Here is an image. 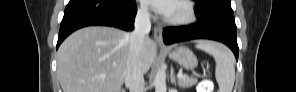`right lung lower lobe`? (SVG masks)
I'll use <instances>...</instances> for the list:
<instances>
[{"label":"right lung lower lobe","mask_w":296,"mask_h":92,"mask_svg":"<svg viewBox=\"0 0 296 92\" xmlns=\"http://www.w3.org/2000/svg\"><path fill=\"white\" fill-rule=\"evenodd\" d=\"M135 0H70L65 8L56 48L73 31L91 25L133 30Z\"/></svg>","instance_id":"1"}]
</instances>
